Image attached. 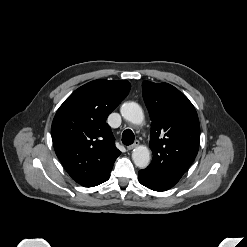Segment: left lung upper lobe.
Instances as JSON below:
<instances>
[{
    "mask_svg": "<svg viewBox=\"0 0 247 247\" xmlns=\"http://www.w3.org/2000/svg\"><path fill=\"white\" fill-rule=\"evenodd\" d=\"M151 123V164L144 170L175 185L194 161L200 125L189 99L168 83H142Z\"/></svg>",
    "mask_w": 247,
    "mask_h": 247,
    "instance_id": "left-lung-upper-lobe-1",
    "label": "left lung upper lobe"
}]
</instances>
